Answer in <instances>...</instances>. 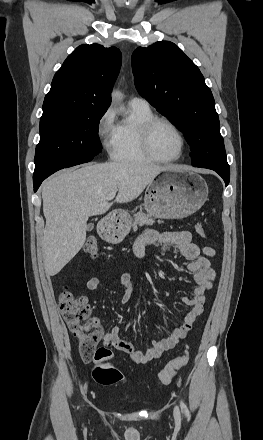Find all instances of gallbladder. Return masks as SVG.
<instances>
[{"label":"gallbladder","instance_id":"gallbladder-1","mask_svg":"<svg viewBox=\"0 0 263 440\" xmlns=\"http://www.w3.org/2000/svg\"><path fill=\"white\" fill-rule=\"evenodd\" d=\"M93 228H94V224L93 223L88 224V226H87V230L88 231H91Z\"/></svg>","mask_w":263,"mask_h":440}]
</instances>
